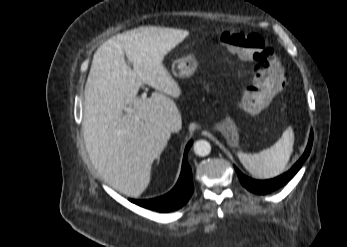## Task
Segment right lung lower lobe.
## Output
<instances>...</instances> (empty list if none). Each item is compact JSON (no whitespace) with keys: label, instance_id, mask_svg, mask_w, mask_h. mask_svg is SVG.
I'll use <instances>...</instances> for the list:
<instances>
[{"label":"right lung lower lobe","instance_id":"obj_1","mask_svg":"<svg viewBox=\"0 0 347 247\" xmlns=\"http://www.w3.org/2000/svg\"><path fill=\"white\" fill-rule=\"evenodd\" d=\"M192 145V141L185 148L182 170L179 180L175 187L166 195L149 200H133L130 201L148 209L159 212H170L181 208L187 203L191 197L194 186L192 181L191 168L187 161V153Z\"/></svg>","mask_w":347,"mask_h":247}]
</instances>
